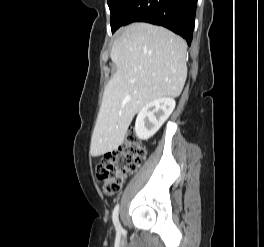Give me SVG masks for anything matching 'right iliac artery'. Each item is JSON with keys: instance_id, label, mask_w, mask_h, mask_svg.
Here are the masks:
<instances>
[{"instance_id": "1", "label": "right iliac artery", "mask_w": 264, "mask_h": 247, "mask_svg": "<svg viewBox=\"0 0 264 247\" xmlns=\"http://www.w3.org/2000/svg\"><path fill=\"white\" fill-rule=\"evenodd\" d=\"M118 212H119V205L117 204L113 210L112 219H113V223L116 228V231L120 233L122 231V227L118 219Z\"/></svg>"}]
</instances>
